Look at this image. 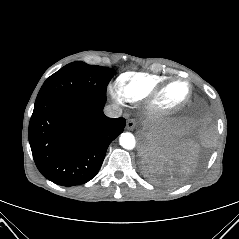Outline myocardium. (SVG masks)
<instances>
[{
    "label": "myocardium",
    "instance_id": "myocardium-1",
    "mask_svg": "<svg viewBox=\"0 0 239 239\" xmlns=\"http://www.w3.org/2000/svg\"><path fill=\"white\" fill-rule=\"evenodd\" d=\"M178 83H182L186 86L187 92L185 97L176 105H173V106L164 105L162 101L164 94L171 86ZM191 94H192V88L188 80L182 79V78L172 79L156 87L146 97L147 108L153 114L171 115V114L177 113L178 111H180L186 106V104L189 102L191 98Z\"/></svg>",
    "mask_w": 239,
    "mask_h": 239
}]
</instances>
